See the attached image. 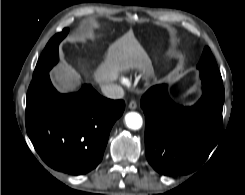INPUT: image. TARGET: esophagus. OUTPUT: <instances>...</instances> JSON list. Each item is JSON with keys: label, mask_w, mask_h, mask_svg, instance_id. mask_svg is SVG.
<instances>
[{"label": "esophagus", "mask_w": 245, "mask_h": 195, "mask_svg": "<svg viewBox=\"0 0 245 195\" xmlns=\"http://www.w3.org/2000/svg\"><path fill=\"white\" fill-rule=\"evenodd\" d=\"M128 107H129L131 110H134V109L137 108V103H136L134 100H132V101H130Z\"/></svg>", "instance_id": "1"}]
</instances>
